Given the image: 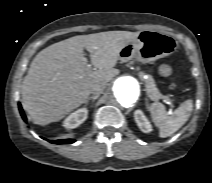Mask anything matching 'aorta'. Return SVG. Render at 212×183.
<instances>
[{
    "label": "aorta",
    "mask_w": 212,
    "mask_h": 183,
    "mask_svg": "<svg viewBox=\"0 0 212 183\" xmlns=\"http://www.w3.org/2000/svg\"><path fill=\"white\" fill-rule=\"evenodd\" d=\"M113 98L117 105L128 108L135 104L140 97L139 82L131 76H121L114 82Z\"/></svg>",
    "instance_id": "obj_1"
}]
</instances>
